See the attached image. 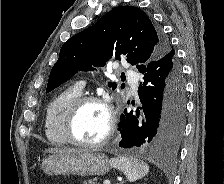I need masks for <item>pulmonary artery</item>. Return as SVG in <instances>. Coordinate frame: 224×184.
<instances>
[{
    "mask_svg": "<svg viewBox=\"0 0 224 184\" xmlns=\"http://www.w3.org/2000/svg\"><path fill=\"white\" fill-rule=\"evenodd\" d=\"M125 73H126V75H127L128 77H130V78H131L132 75H133L132 71H130V70H126ZM83 86H84L83 82H80V83L77 85V88L81 90V89L83 88ZM131 88H132V91H133L134 93H136V92H137V89H138V83H137V82H132V83H131Z\"/></svg>",
    "mask_w": 224,
    "mask_h": 184,
    "instance_id": "obj_1",
    "label": "pulmonary artery"
}]
</instances>
